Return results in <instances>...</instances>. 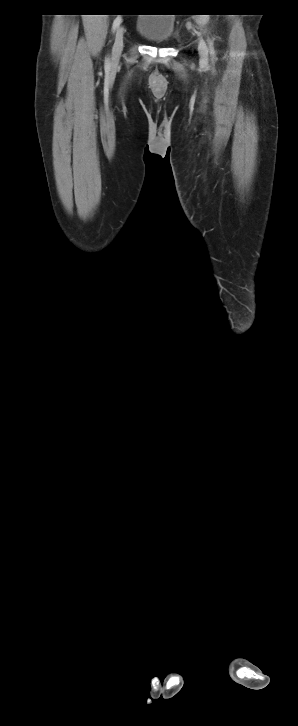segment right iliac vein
<instances>
[{"label": "right iliac vein", "mask_w": 298, "mask_h": 726, "mask_svg": "<svg viewBox=\"0 0 298 726\" xmlns=\"http://www.w3.org/2000/svg\"><path fill=\"white\" fill-rule=\"evenodd\" d=\"M123 37H124V28L121 26L116 31L114 45L112 48V58L114 61L119 60V58L121 56V53L123 50Z\"/></svg>", "instance_id": "right-iliac-vein-1"}]
</instances>
